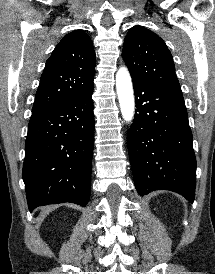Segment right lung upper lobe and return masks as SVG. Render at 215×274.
Listing matches in <instances>:
<instances>
[{
  "instance_id": "obj_1",
  "label": "right lung upper lobe",
  "mask_w": 215,
  "mask_h": 274,
  "mask_svg": "<svg viewBox=\"0 0 215 274\" xmlns=\"http://www.w3.org/2000/svg\"><path fill=\"white\" fill-rule=\"evenodd\" d=\"M95 52L82 30L67 34L46 62L32 116L51 109L93 86Z\"/></svg>"
}]
</instances>
